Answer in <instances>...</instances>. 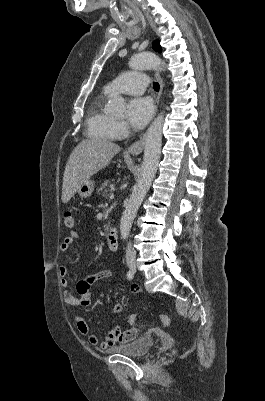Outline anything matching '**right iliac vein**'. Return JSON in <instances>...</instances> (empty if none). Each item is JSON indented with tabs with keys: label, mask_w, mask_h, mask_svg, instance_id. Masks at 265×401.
<instances>
[{
	"label": "right iliac vein",
	"mask_w": 265,
	"mask_h": 401,
	"mask_svg": "<svg viewBox=\"0 0 265 401\" xmlns=\"http://www.w3.org/2000/svg\"><path fill=\"white\" fill-rule=\"evenodd\" d=\"M135 267H136V264H135V263H130V264H129V268H130V269L134 270Z\"/></svg>",
	"instance_id": "1"
}]
</instances>
